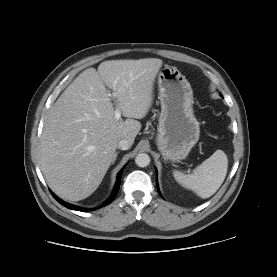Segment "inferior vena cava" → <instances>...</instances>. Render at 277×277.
Masks as SVG:
<instances>
[{"label":"inferior vena cava","mask_w":277,"mask_h":277,"mask_svg":"<svg viewBox=\"0 0 277 277\" xmlns=\"http://www.w3.org/2000/svg\"><path fill=\"white\" fill-rule=\"evenodd\" d=\"M131 147V143L126 140V139H121L118 143H117V148L121 149V150H127Z\"/></svg>","instance_id":"inferior-vena-cava-1"}]
</instances>
